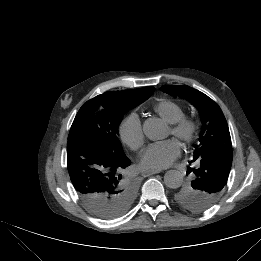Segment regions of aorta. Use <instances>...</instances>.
<instances>
[{
  "label": "aorta",
  "instance_id": "762f6f07",
  "mask_svg": "<svg viewBox=\"0 0 261 261\" xmlns=\"http://www.w3.org/2000/svg\"><path fill=\"white\" fill-rule=\"evenodd\" d=\"M165 125L156 118L147 119L143 125V131L150 140H159L165 132ZM182 174L177 170H169L164 175V183L171 189H176L182 184Z\"/></svg>",
  "mask_w": 261,
  "mask_h": 261
}]
</instances>
